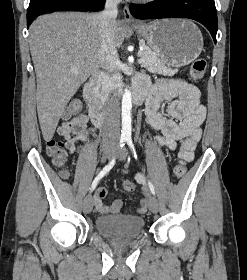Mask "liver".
Returning <instances> with one entry per match:
<instances>
[{"label": "liver", "instance_id": "1", "mask_svg": "<svg viewBox=\"0 0 247 280\" xmlns=\"http://www.w3.org/2000/svg\"><path fill=\"white\" fill-rule=\"evenodd\" d=\"M125 33L124 22L116 21L115 48L122 45ZM29 43L39 123L44 140L49 141L69 100L101 65L98 14L42 15L30 26Z\"/></svg>", "mask_w": 247, "mask_h": 280}]
</instances>
